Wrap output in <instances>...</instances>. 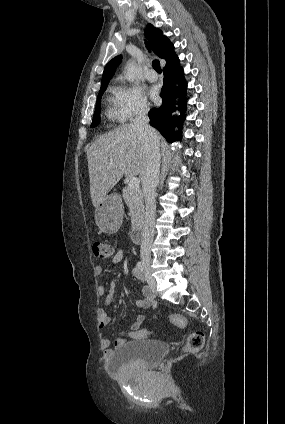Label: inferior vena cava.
<instances>
[{
	"label": "inferior vena cava",
	"mask_w": 285,
	"mask_h": 424,
	"mask_svg": "<svg viewBox=\"0 0 285 424\" xmlns=\"http://www.w3.org/2000/svg\"><path fill=\"white\" fill-rule=\"evenodd\" d=\"M148 112L149 107L147 105L141 106L133 120L132 127L137 129L143 137L147 154V166L142 177L146 211L140 253L143 260L150 261L151 246L155 233V197L160 173V150L156 132L149 125Z\"/></svg>",
	"instance_id": "obj_1"
}]
</instances>
